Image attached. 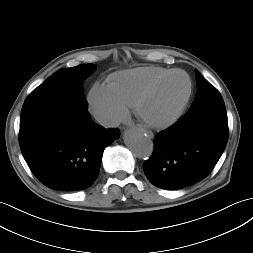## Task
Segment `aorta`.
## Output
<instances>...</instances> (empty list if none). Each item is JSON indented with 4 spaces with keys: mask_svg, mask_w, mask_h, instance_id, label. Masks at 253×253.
Returning a JSON list of instances; mask_svg holds the SVG:
<instances>
[{
    "mask_svg": "<svg viewBox=\"0 0 253 253\" xmlns=\"http://www.w3.org/2000/svg\"><path fill=\"white\" fill-rule=\"evenodd\" d=\"M124 140L131 152L139 158L150 157L153 153L154 145L151 138L138 129H129Z\"/></svg>",
    "mask_w": 253,
    "mask_h": 253,
    "instance_id": "1",
    "label": "aorta"
}]
</instances>
